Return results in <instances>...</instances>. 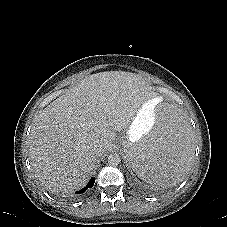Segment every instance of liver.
<instances>
[{"label": "liver", "mask_w": 227, "mask_h": 227, "mask_svg": "<svg viewBox=\"0 0 227 227\" xmlns=\"http://www.w3.org/2000/svg\"><path fill=\"white\" fill-rule=\"evenodd\" d=\"M149 98L140 75L110 71L84 78L35 120L29 136L35 177L52 193L85 186L98 159L113 146L116 132L128 128ZM99 143L105 145L96 151Z\"/></svg>", "instance_id": "6515ba94"}]
</instances>
